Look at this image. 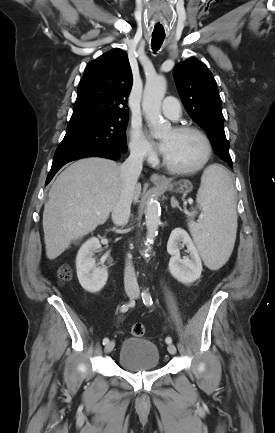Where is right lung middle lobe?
<instances>
[{"instance_id":"dd1d6c3e","label":"right lung middle lobe","mask_w":275,"mask_h":433,"mask_svg":"<svg viewBox=\"0 0 275 433\" xmlns=\"http://www.w3.org/2000/svg\"><path fill=\"white\" fill-rule=\"evenodd\" d=\"M128 117H81L70 119L67 132L55 154L96 148L127 151L125 130Z\"/></svg>"}]
</instances>
